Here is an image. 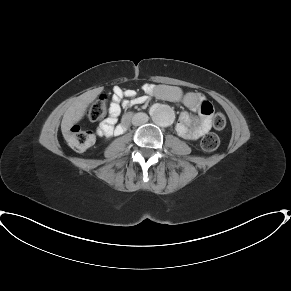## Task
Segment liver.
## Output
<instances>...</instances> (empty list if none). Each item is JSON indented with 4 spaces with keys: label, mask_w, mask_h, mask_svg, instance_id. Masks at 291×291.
<instances>
[{
    "label": "liver",
    "mask_w": 291,
    "mask_h": 291,
    "mask_svg": "<svg viewBox=\"0 0 291 291\" xmlns=\"http://www.w3.org/2000/svg\"><path fill=\"white\" fill-rule=\"evenodd\" d=\"M102 90V87L90 90L80 95L72 102L67 111L64 113L62 119L61 130L63 133L68 132V130L74 124H76L83 118L89 104L97 98Z\"/></svg>",
    "instance_id": "liver-1"
}]
</instances>
